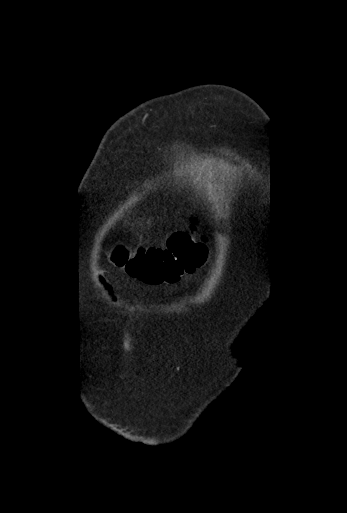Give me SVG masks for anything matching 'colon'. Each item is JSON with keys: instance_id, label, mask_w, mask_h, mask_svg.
<instances>
[{"instance_id": "obj_1", "label": "colon", "mask_w": 347, "mask_h": 513, "mask_svg": "<svg viewBox=\"0 0 347 513\" xmlns=\"http://www.w3.org/2000/svg\"><path fill=\"white\" fill-rule=\"evenodd\" d=\"M207 257L204 242L195 230L174 233L166 248L147 247L135 253L123 244L111 253L114 264L144 284H171L202 266Z\"/></svg>"}]
</instances>
